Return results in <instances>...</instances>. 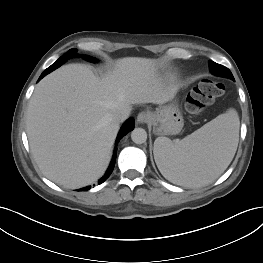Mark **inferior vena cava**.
Masks as SVG:
<instances>
[{"mask_svg": "<svg viewBox=\"0 0 263 263\" xmlns=\"http://www.w3.org/2000/svg\"><path fill=\"white\" fill-rule=\"evenodd\" d=\"M128 116H129L128 110H120V111L115 112L112 117L114 121L120 123L126 120Z\"/></svg>", "mask_w": 263, "mask_h": 263, "instance_id": "inferior-vena-cava-1", "label": "inferior vena cava"}]
</instances>
